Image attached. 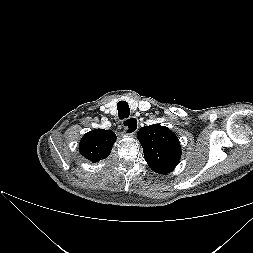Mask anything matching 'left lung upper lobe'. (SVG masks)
Listing matches in <instances>:
<instances>
[{"instance_id":"5c2ea615","label":"left lung upper lobe","mask_w":253,"mask_h":253,"mask_svg":"<svg viewBox=\"0 0 253 253\" xmlns=\"http://www.w3.org/2000/svg\"><path fill=\"white\" fill-rule=\"evenodd\" d=\"M137 137L146 162L155 172L167 174L178 164L181 147L177 136L169 128L159 124L144 126Z\"/></svg>"}]
</instances>
